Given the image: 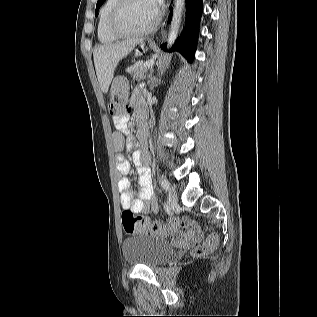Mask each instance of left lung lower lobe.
Instances as JSON below:
<instances>
[{
	"instance_id": "1",
	"label": "left lung lower lobe",
	"mask_w": 317,
	"mask_h": 317,
	"mask_svg": "<svg viewBox=\"0 0 317 317\" xmlns=\"http://www.w3.org/2000/svg\"><path fill=\"white\" fill-rule=\"evenodd\" d=\"M187 16L185 29L172 47V50H177L183 54L189 62L194 59L196 44L199 32V22L203 11L202 0H186ZM172 19V8L169 15L168 23ZM165 50V44L161 46Z\"/></svg>"
}]
</instances>
